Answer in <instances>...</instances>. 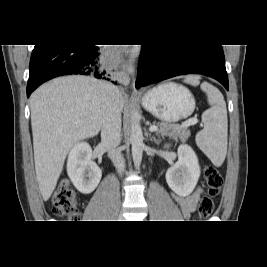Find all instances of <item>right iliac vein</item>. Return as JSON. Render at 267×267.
I'll return each mask as SVG.
<instances>
[{
    "mask_svg": "<svg viewBox=\"0 0 267 267\" xmlns=\"http://www.w3.org/2000/svg\"><path fill=\"white\" fill-rule=\"evenodd\" d=\"M119 220H123V216L122 215L119 216Z\"/></svg>",
    "mask_w": 267,
    "mask_h": 267,
    "instance_id": "right-iliac-vein-1",
    "label": "right iliac vein"
}]
</instances>
